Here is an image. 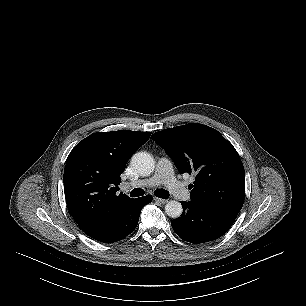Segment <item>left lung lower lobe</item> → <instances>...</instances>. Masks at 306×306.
Listing matches in <instances>:
<instances>
[{"label":"left lung lower lobe","instance_id":"left-lung-lower-lobe-1","mask_svg":"<svg viewBox=\"0 0 306 306\" xmlns=\"http://www.w3.org/2000/svg\"><path fill=\"white\" fill-rule=\"evenodd\" d=\"M181 204L183 213L172 220V228L179 237L191 243H204L221 237L238 215L232 210L202 206L193 201H182Z\"/></svg>","mask_w":306,"mask_h":306}]
</instances>
